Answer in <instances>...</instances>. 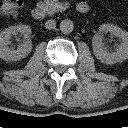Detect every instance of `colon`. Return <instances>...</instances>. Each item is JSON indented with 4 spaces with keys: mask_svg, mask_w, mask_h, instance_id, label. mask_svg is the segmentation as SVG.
I'll use <instances>...</instances> for the list:
<instances>
[{
    "mask_svg": "<svg viewBox=\"0 0 128 128\" xmlns=\"http://www.w3.org/2000/svg\"><path fill=\"white\" fill-rule=\"evenodd\" d=\"M23 0H1L0 1V14L6 18L14 19L18 10L23 5Z\"/></svg>",
    "mask_w": 128,
    "mask_h": 128,
    "instance_id": "obj_1",
    "label": "colon"
}]
</instances>
